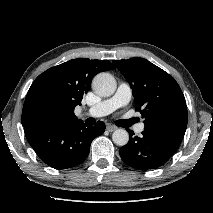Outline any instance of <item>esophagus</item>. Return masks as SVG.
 I'll return each mask as SVG.
<instances>
[{"label":"esophagus","mask_w":213,"mask_h":213,"mask_svg":"<svg viewBox=\"0 0 213 213\" xmlns=\"http://www.w3.org/2000/svg\"><path fill=\"white\" fill-rule=\"evenodd\" d=\"M106 129H107L109 132H112V131H115V130L117 129V127L114 126V125H111V124H107Z\"/></svg>","instance_id":"esophagus-1"}]
</instances>
